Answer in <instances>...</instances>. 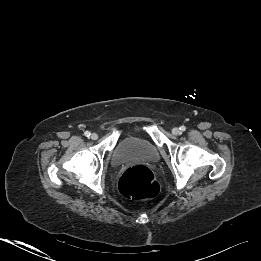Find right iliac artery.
<instances>
[{"instance_id": "82829eb1", "label": "right iliac artery", "mask_w": 261, "mask_h": 261, "mask_svg": "<svg viewBox=\"0 0 261 261\" xmlns=\"http://www.w3.org/2000/svg\"><path fill=\"white\" fill-rule=\"evenodd\" d=\"M84 135H85L86 137H89V136L91 135V133H90L89 131H86V132L84 133Z\"/></svg>"}]
</instances>
